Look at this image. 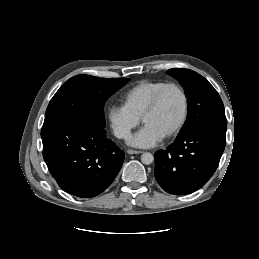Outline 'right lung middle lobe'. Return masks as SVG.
<instances>
[{"mask_svg": "<svg viewBox=\"0 0 259 259\" xmlns=\"http://www.w3.org/2000/svg\"><path fill=\"white\" fill-rule=\"evenodd\" d=\"M130 79H101L77 75L67 80L51 99L43 125L66 118H82L104 128L105 101Z\"/></svg>", "mask_w": 259, "mask_h": 259, "instance_id": "right-lung-middle-lobe-1", "label": "right lung middle lobe"}]
</instances>
